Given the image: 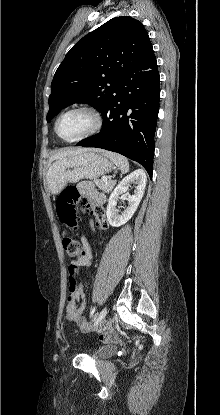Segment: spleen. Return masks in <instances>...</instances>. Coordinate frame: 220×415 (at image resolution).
Segmentation results:
<instances>
[{
    "label": "spleen",
    "instance_id": "obj_1",
    "mask_svg": "<svg viewBox=\"0 0 220 415\" xmlns=\"http://www.w3.org/2000/svg\"><path fill=\"white\" fill-rule=\"evenodd\" d=\"M102 154L117 165L123 174L129 171V162L126 157L110 151H102Z\"/></svg>",
    "mask_w": 220,
    "mask_h": 415
}]
</instances>
